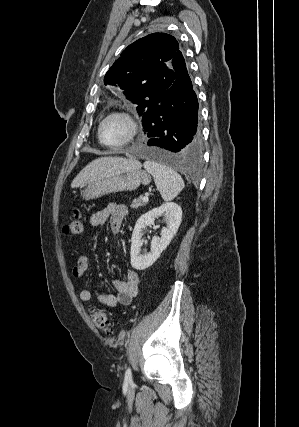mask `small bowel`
<instances>
[{"label":"small bowel","mask_w":299,"mask_h":427,"mask_svg":"<svg viewBox=\"0 0 299 427\" xmlns=\"http://www.w3.org/2000/svg\"><path fill=\"white\" fill-rule=\"evenodd\" d=\"M128 210L126 206L117 203H109L104 209L93 213L90 217L92 226H100L107 221L110 223V229L113 234L120 231L122 222L127 216ZM90 266V258L80 256L73 267L72 274L75 278H81L87 272ZM112 286L116 290L114 294H97V300L105 306L117 307L129 304L138 293L140 277L134 270H129L124 279L112 277L110 279ZM79 297L82 302L90 303L92 300V292L88 288L80 291Z\"/></svg>","instance_id":"1"}]
</instances>
